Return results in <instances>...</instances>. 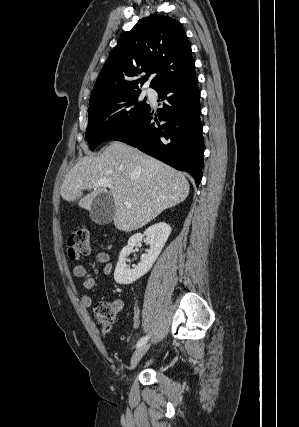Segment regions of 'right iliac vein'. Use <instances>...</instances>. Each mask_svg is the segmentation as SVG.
<instances>
[{"mask_svg": "<svg viewBox=\"0 0 299 427\" xmlns=\"http://www.w3.org/2000/svg\"><path fill=\"white\" fill-rule=\"evenodd\" d=\"M150 345L149 344H144L142 346H140L133 354L132 358H131V363H130V370H133L136 365L138 364V362L141 360V358L145 355V353L148 351Z\"/></svg>", "mask_w": 299, "mask_h": 427, "instance_id": "63e3f726", "label": "right iliac vein"}]
</instances>
